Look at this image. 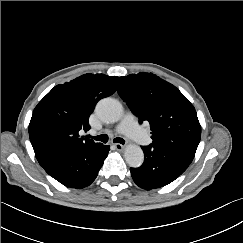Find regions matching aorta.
I'll use <instances>...</instances> for the list:
<instances>
[{
    "label": "aorta",
    "instance_id": "762f6f07",
    "mask_svg": "<svg viewBox=\"0 0 243 243\" xmlns=\"http://www.w3.org/2000/svg\"><path fill=\"white\" fill-rule=\"evenodd\" d=\"M96 113L105 122L114 123L123 116L121 103L113 98H104L96 106ZM124 157L130 167H140L144 161V154L138 145H128L124 152Z\"/></svg>",
    "mask_w": 243,
    "mask_h": 243
}]
</instances>
